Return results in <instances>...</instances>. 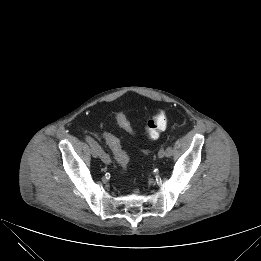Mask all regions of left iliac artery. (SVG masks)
<instances>
[{
	"label": "left iliac artery",
	"instance_id": "obj_1",
	"mask_svg": "<svg viewBox=\"0 0 261 261\" xmlns=\"http://www.w3.org/2000/svg\"><path fill=\"white\" fill-rule=\"evenodd\" d=\"M174 146L173 144H168L166 147V156L170 157L173 154Z\"/></svg>",
	"mask_w": 261,
	"mask_h": 261
}]
</instances>
